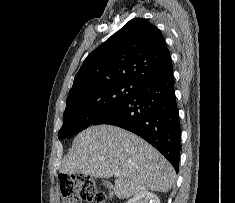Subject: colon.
<instances>
[{"label": "colon", "mask_w": 235, "mask_h": 203, "mask_svg": "<svg viewBox=\"0 0 235 203\" xmlns=\"http://www.w3.org/2000/svg\"><path fill=\"white\" fill-rule=\"evenodd\" d=\"M61 203H104L105 194L89 176L67 175L59 176Z\"/></svg>", "instance_id": "obj_1"}]
</instances>
